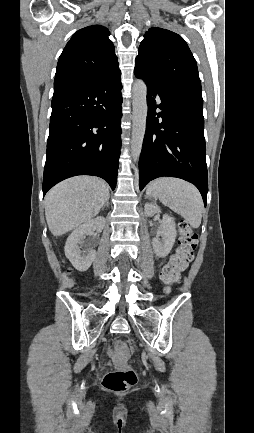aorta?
<instances>
[{"label": "aorta", "mask_w": 254, "mask_h": 433, "mask_svg": "<svg viewBox=\"0 0 254 433\" xmlns=\"http://www.w3.org/2000/svg\"><path fill=\"white\" fill-rule=\"evenodd\" d=\"M132 107L131 155L134 161H137L142 150L148 111L147 86L141 79H137L133 84Z\"/></svg>", "instance_id": "762f6f07"}]
</instances>
